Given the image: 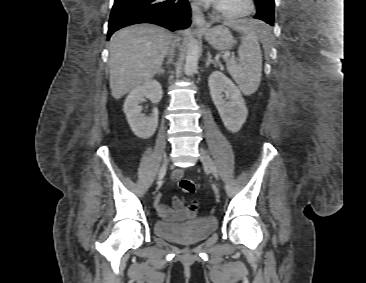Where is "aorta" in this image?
Segmentation results:
<instances>
[{
    "mask_svg": "<svg viewBox=\"0 0 366 283\" xmlns=\"http://www.w3.org/2000/svg\"><path fill=\"white\" fill-rule=\"evenodd\" d=\"M200 54L201 49L199 47L198 41L195 38H191L188 43L186 63L184 66V71L187 76H190L197 71Z\"/></svg>",
    "mask_w": 366,
    "mask_h": 283,
    "instance_id": "1",
    "label": "aorta"
}]
</instances>
